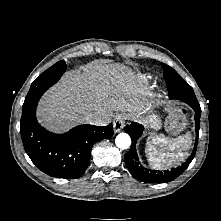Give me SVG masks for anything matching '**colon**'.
Segmentation results:
<instances>
[{"instance_id":"1","label":"colon","mask_w":221,"mask_h":221,"mask_svg":"<svg viewBox=\"0 0 221 221\" xmlns=\"http://www.w3.org/2000/svg\"><path fill=\"white\" fill-rule=\"evenodd\" d=\"M185 122L186 119L184 109L181 107H174L168 122V129L171 132L176 133L184 127Z\"/></svg>"}]
</instances>
